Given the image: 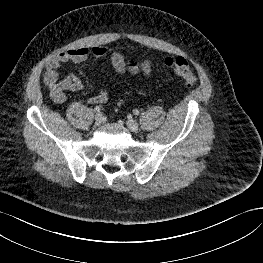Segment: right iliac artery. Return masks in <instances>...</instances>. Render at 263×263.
<instances>
[{
    "label": "right iliac artery",
    "instance_id": "obj_1",
    "mask_svg": "<svg viewBox=\"0 0 263 263\" xmlns=\"http://www.w3.org/2000/svg\"><path fill=\"white\" fill-rule=\"evenodd\" d=\"M94 110H95L96 112H100L101 107H100V106H96V107L94 108Z\"/></svg>",
    "mask_w": 263,
    "mask_h": 263
}]
</instances>
